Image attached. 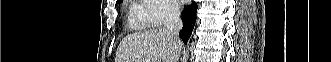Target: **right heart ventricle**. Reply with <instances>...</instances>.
Listing matches in <instances>:
<instances>
[{"instance_id": "e07e8e85", "label": "right heart ventricle", "mask_w": 331, "mask_h": 62, "mask_svg": "<svg viewBox=\"0 0 331 62\" xmlns=\"http://www.w3.org/2000/svg\"><path fill=\"white\" fill-rule=\"evenodd\" d=\"M130 16L134 21L140 23L142 28H144L146 26L145 19H146L147 13L142 6L132 7Z\"/></svg>"}]
</instances>
